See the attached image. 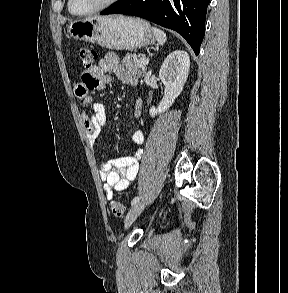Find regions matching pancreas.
<instances>
[{"instance_id": "obj_1", "label": "pancreas", "mask_w": 288, "mask_h": 293, "mask_svg": "<svg viewBox=\"0 0 288 293\" xmlns=\"http://www.w3.org/2000/svg\"><path fill=\"white\" fill-rule=\"evenodd\" d=\"M122 63L126 66L128 71L135 74L137 77L143 76L147 69L146 65L141 64L136 55L131 53H127L124 56Z\"/></svg>"}]
</instances>
